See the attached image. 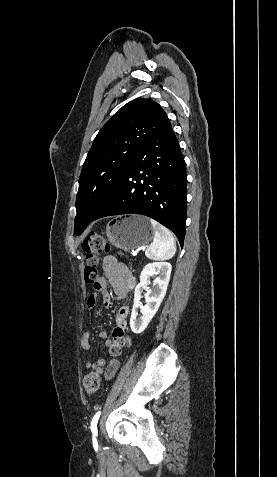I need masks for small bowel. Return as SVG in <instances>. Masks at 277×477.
I'll list each match as a JSON object with an SVG mask.
<instances>
[{"instance_id":"small-bowel-1","label":"small bowel","mask_w":277,"mask_h":477,"mask_svg":"<svg viewBox=\"0 0 277 477\" xmlns=\"http://www.w3.org/2000/svg\"><path fill=\"white\" fill-rule=\"evenodd\" d=\"M102 268L107 281L113 288L114 293L120 301H125L130 291L135 287L136 281L130 270L123 263H119L113 256H106L102 262ZM99 290L103 294V302L105 306H109L111 302L110 294L107 290L105 280H101ZM97 295L93 294L88 297L87 306L93 308L97 303ZM129 314V307L121 306L115 315V327L112 330V338L109 337L107 331L102 330L99 336L105 340L106 348L109 354L113 357L119 356L123 348L129 347L131 344L130 337L126 332L127 317ZM90 333L86 331L81 340V345L84 350L90 349L89 344ZM120 366L119 361L113 358L106 366L105 359H98L93 362L87 360L85 367L93 369L97 374H103L106 380L113 378Z\"/></svg>"}]
</instances>
